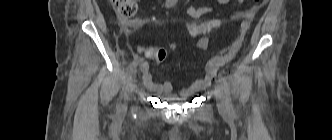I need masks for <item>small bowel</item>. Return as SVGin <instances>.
<instances>
[{
    "instance_id": "small-bowel-1",
    "label": "small bowel",
    "mask_w": 332,
    "mask_h": 140,
    "mask_svg": "<svg viewBox=\"0 0 332 140\" xmlns=\"http://www.w3.org/2000/svg\"><path fill=\"white\" fill-rule=\"evenodd\" d=\"M231 0H217L219 4H228ZM244 0H236L235 4H241ZM214 8L212 6L204 7H194L189 5L187 8L188 14L195 19L212 12ZM256 9H251L241 13L240 17L242 19L239 31L233 42L220 53L212 56L205 65V73L202 78L193 82L188 87L182 89L178 95L173 94V84L170 81H165L163 84L157 83L153 80L152 74L150 72L149 63L146 60H140V69L142 72L143 82L145 86L153 93L159 95L166 101H178L180 99H185L195 95L196 93L205 89L213 77L216 75L220 67L230 62L240 50L242 43L247 35L250 28L252 19L254 17ZM177 47V43L173 42L171 44V49L174 50ZM198 47L201 49H207L209 47V38L207 36H202L198 40Z\"/></svg>"
}]
</instances>
